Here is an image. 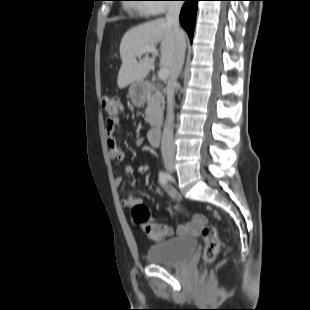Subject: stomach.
I'll list each match as a JSON object with an SVG mask.
<instances>
[{"mask_svg":"<svg viewBox=\"0 0 310 310\" xmlns=\"http://www.w3.org/2000/svg\"><path fill=\"white\" fill-rule=\"evenodd\" d=\"M146 96V87L143 82H133L129 87V97L136 106H142Z\"/></svg>","mask_w":310,"mask_h":310,"instance_id":"0dacf381","label":"stomach"}]
</instances>
